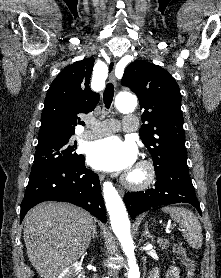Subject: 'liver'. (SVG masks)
<instances>
[{"mask_svg": "<svg viewBox=\"0 0 221 278\" xmlns=\"http://www.w3.org/2000/svg\"><path fill=\"white\" fill-rule=\"evenodd\" d=\"M95 230L93 217L83 209L68 203H41L24 218L29 261L41 278H57L86 252Z\"/></svg>", "mask_w": 221, "mask_h": 278, "instance_id": "liver-1", "label": "liver"}]
</instances>
